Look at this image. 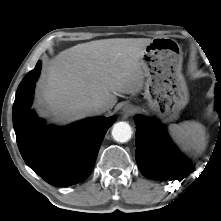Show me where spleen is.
<instances>
[{"label":"spleen","instance_id":"spleen-1","mask_svg":"<svg viewBox=\"0 0 221 221\" xmlns=\"http://www.w3.org/2000/svg\"><path fill=\"white\" fill-rule=\"evenodd\" d=\"M169 132L176 143L186 151L200 152L206 146V130L199 122L184 121L179 124H171Z\"/></svg>","mask_w":221,"mask_h":221}]
</instances>
